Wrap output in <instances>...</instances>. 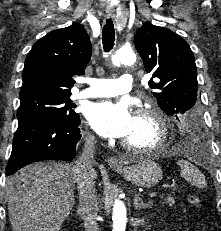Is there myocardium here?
<instances>
[{"mask_svg":"<svg viewBox=\"0 0 221 231\" xmlns=\"http://www.w3.org/2000/svg\"><path fill=\"white\" fill-rule=\"evenodd\" d=\"M136 117H144L150 119L157 129V139L150 145H136L125 139L122 140V145L136 153H154L166 147L169 140V126L165 115L154 106H143L137 109Z\"/></svg>","mask_w":221,"mask_h":231,"instance_id":"f54148a6","label":"myocardium"}]
</instances>
